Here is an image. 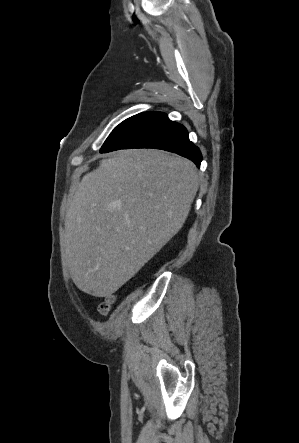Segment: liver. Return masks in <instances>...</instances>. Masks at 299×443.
<instances>
[{
    "mask_svg": "<svg viewBox=\"0 0 299 443\" xmlns=\"http://www.w3.org/2000/svg\"><path fill=\"white\" fill-rule=\"evenodd\" d=\"M199 188L190 160L122 150L83 176L66 211L65 246L78 289L107 297L182 228Z\"/></svg>",
    "mask_w": 299,
    "mask_h": 443,
    "instance_id": "obj_1",
    "label": "liver"
}]
</instances>
